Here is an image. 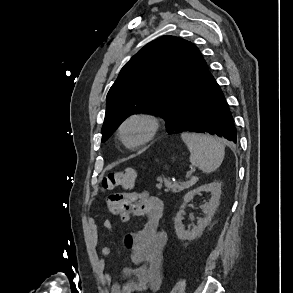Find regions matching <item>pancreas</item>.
Masks as SVG:
<instances>
[{
	"mask_svg": "<svg viewBox=\"0 0 293 293\" xmlns=\"http://www.w3.org/2000/svg\"><path fill=\"white\" fill-rule=\"evenodd\" d=\"M159 184L157 185L159 188L162 187L163 180L159 179ZM194 184V181L186 182V183H177L171 182L170 180L164 179L165 192H173L180 193L188 188H190Z\"/></svg>",
	"mask_w": 293,
	"mask_h": 293,
	"instance_id": "obj_1",
	"label": "pancreas"
}]
</instances>
